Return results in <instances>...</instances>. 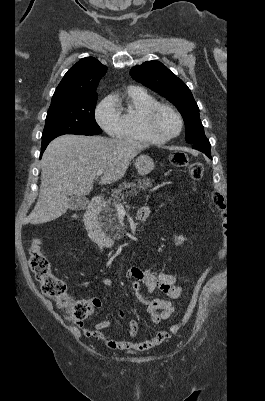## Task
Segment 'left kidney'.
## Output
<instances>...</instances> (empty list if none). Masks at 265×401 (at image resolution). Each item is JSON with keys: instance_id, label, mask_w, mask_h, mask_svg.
<instances>
[{"instance_id": "1", "label": "left kidney", "mask_w": 265, "mask_h": 401, "mask_svg": "<svg viewBox=\"0 0 265 401\" xmlns=\"http://www.w3.org/2000/svg\"><path fill=\"white\" fill-rule=\"evenodd\" d=\"M176 241H177V245H181V243H183V241H186V239H184V237H175Z\"/></svg>"}]
</instances>
